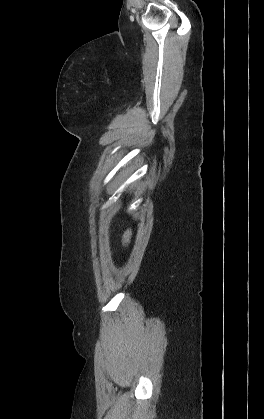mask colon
Instances as JSON below:
<instances>
[{
	"label": "colon",
	"mask_w": 264,
	"mask_h": 419,
	"mask_svg": "<svg viewBox=\"0 0 264 419\" xmlns=\"http://www.w3.org/2000/svg\"><path fill=\"white\" fill-rule=\"evenodd\" d=\"M132 232L131 230H127L124 235V243L127 245L131 240Z\"/></svg>",
	"instance_id": "1"
}]
</instances>
